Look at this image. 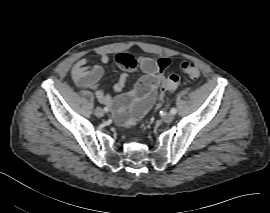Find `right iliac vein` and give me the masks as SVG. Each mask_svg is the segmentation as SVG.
Segmentation results:
<instances>
[{"label": "right iliac vein", "mask_w": 270, "mask_h": 213, "mask_svg": "<svg viewBox=\"0 0 270 213\" xmlns=\"http://www.w3.org/2000/svg\"><path fill=\"white\" fill-rule=\"evenodd\" d=\"M94 112L97 117L103 116V110L100 107H96Z\"/></svg>", "instance_id": "63e3f726"}]
</instances>
